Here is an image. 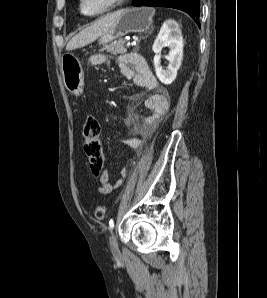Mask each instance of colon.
Masks as SVG:
<instances>
[{"label": "colon", "instance_id": "5ec220e1", "mask_svg": "<svg viewBox=\"0 0 267 298\" xmlns=\"http://www.w3.org/2000/svg\"><path fill=\"white\" fill-rule=\"evenodd\" d=\"M82 143L85 153L89 159L90 169L94 176H98L104 166L105 155L101 141V125L94 117H87L82 129ZM106 210L98 205L94 209L97 220H103Z\"/></svg>", "mask_w": 267, "mask_h": 298}]
</instances>
